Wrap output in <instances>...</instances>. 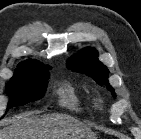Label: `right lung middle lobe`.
Masks as SVG:
<instances>
[{
	"mask_svg": "<svg viewBox=\"0 0 141 139\" xmlns=\"http://www.w3.org/2000/svg\"><path fill=\"white\" fill-rule=\"evenodd\" d=\"M49 66L16 70L6 90L10 96L7 109L23 106L44 96L49 78Z\"/></svg>",
	"mask_w": 141,
	"mask_h": 139,
	"instance_id": "right-lung-middle-lobe-1",
	"label": "right lung middle lobe"
}]
</instances>
